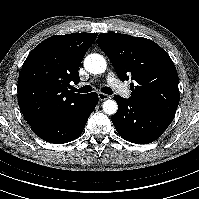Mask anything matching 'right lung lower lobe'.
Masks as SVG:
<instances>
[{
	"instance_id": "1",
	"label": "right lung lower lobe",
	"mask_w": 199,
	"mask_h": 199,
	"mask_svg": "<svg viewBox=\"0 0 199 199\" xmlns=\"http://www.w3.org/2000/svg\"><path fill=\"white\" fill-rule=\"evenodd\" d=\"M97 104V93L86 94L79 104L49 121L31 128L37 136L50 143L62 144L73 141L84 130L87 120Z\"/></svg>"
}]
</instances>
